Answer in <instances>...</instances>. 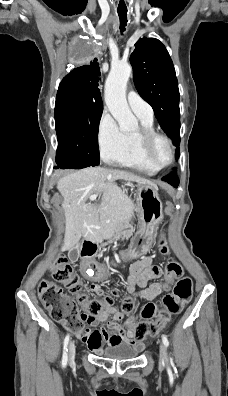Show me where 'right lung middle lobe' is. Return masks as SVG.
Masks as SVG:
<instances>
[{"label": "right lung middle lobe", "instance_id": "dd1d6c3e", "mask_svg": "<svg viewBox=\"0 0 228 396\" xmlns=\"http://www.w3.org/2000/svg\"><path fill=\"white\" fill-rule=\"evenodd\" d=\"M86 52L83 57H89ZM102 105H89L75 95L59 92L55 104L59 168L81 169L99 165L98 130Z\"/></svg>", "mask_w": 228, "mask_h": 396}]
</instances>
